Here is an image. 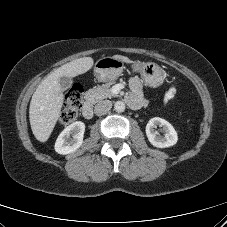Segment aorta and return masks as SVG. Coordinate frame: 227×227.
<instances>
[{
  "mask_svg": "<svg viewBox=\"0 0 227 227\" xmlns=\"http://www.w3.org/2000/svg\"><path fill=\"white\" fill-rule=\"evenodd\" d=\"M114 109L116 112H123L125 110L124 102H122V101L115 102Z\"/></svg>",
  "mask_w": 227,
  "mask_h": 227,
  "instance_id": "aorta-1",
  "label": "aorta"
}]
</instances>
